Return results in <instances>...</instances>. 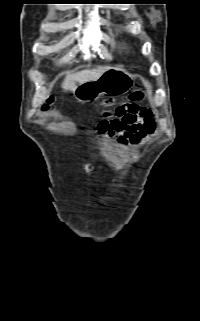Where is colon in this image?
<instances>
[{
	"label": "colon",
	"instance_id": "1",
	"mask_svg": "<svg viewBox=\"0 0 200 321\" xmlns=\"http://www.w3.org/2000/svg\"><path fill=\"white\" fill-rule=\"evenodd\" d=\"M142 99V93L141 92H135L130 95L129 101L120 103L113 109H109L106 111V116L108 117H121L124 115L127 111H129L130 108L132 109H142L138 107L136 104H134L135 101H138ZM51 103V100H48L47 103L44 105V109L48 107V105ZM107 106H112V102L108 101L106 102Z\"/></svg>",
	"mask_w": 200,
	"mask_h": 321
}]
</instances>
